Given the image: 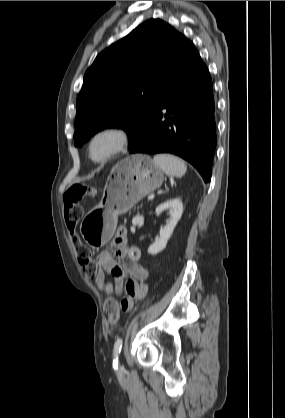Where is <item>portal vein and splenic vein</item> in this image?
I'll return each instance as SVG.
<instances>
[{
    "instance_id": "obj_1",
    "label": "portal vein and splenic vein",
    "mask_w": 285,
    "mask_h": 418,
    "mask_svg": "<svg viewBox=\"0 0 285 418\" xmlns=\"http://www.w3.org/2000/svg\"><path fill=\"white\" fill-rule=\"evenodd\" d=\"M154 194H150L149 196H148V200L150 201V200H152L153 198H154Z\"/></svg>"
}]
</instances>
